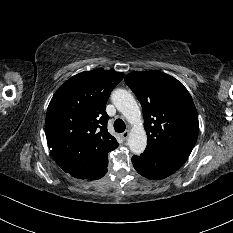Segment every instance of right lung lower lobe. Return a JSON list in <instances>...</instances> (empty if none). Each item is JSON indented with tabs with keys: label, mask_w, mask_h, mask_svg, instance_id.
Masks as SVG:
<instances>
[{
	"label": "right lung lower lobe",
	"mask_w": 233,
	"mask_h": 233,
	"mask_svg": "<svg viewBox=\"0 0 233 233\" xmlns=\"http://www.w3.org/2000/svg\"><path fill=\"white\" fill-rule=\"evenodd\" d=\"M106 172H107V169H105V171H104L101 175H99V176H97V177L83 176V177H76V178H79V179H88V180H95V179H99V178L103 177V176L106 174Z\"/></svg>",
	"instance_id": "98d812e1"
}]
</instances>
